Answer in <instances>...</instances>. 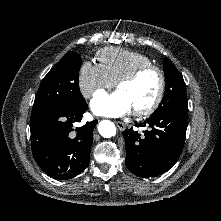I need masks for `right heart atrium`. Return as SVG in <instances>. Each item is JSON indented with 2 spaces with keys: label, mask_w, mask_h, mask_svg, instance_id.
<instances>
[{
  "label": "right heart atrium",
  "mask_w": 221,
  "mask_h": 221,
  "mask_svg": "<svg viewBox=\"0 0 221 221\" xmlns=\"http://www.w3.org/2000/svg\"><path fill=\"white\" fill-rule=\"evenodd\" d=\"M115 82L95 63L85 62L78 73V88L81 95L89 99L95 94L112 88Z\"/></svg>",
  "instance_id": "right-heart-atrium-1"
}]
</instances>
